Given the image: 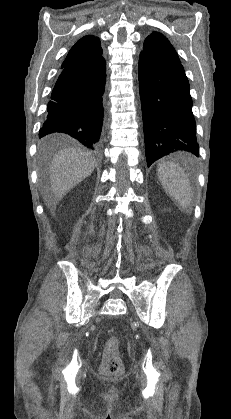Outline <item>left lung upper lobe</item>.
Returning a JSON list of instances; mask_svg holds the SVG:
<instances>
[{"instance_id":"5c2ea615","label":"left lung upper lobe","mask_w":231,"mask_h":419,"mask_svg":"<svg viewBox=\"0 0 231 419\" xmlns=\"http://www.w3.org/2000/svg\"><path fill=\"white\" fill-rule=\"evenodd\" d=\"M142 52L153 58L180 63L171 43L159 32H153L145 39Z\"/></svg>"}]
</instances>
